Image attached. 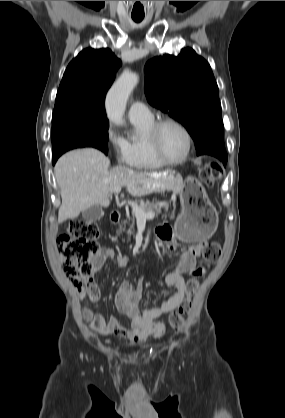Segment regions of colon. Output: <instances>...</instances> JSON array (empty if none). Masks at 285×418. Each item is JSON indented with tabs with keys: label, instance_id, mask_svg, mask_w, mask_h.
Returning <instances> with one entry per match:
<instances>
[{
	"label": "colon",
	"instance_id": "5ec220e1",
	"mask_svg": "<svg viewBox=\"0 0 285 418\" xmlns=\"http://www.w3.org/2000/svg\"><path fill=\"white\" fill-rule=\"evenodd\" d=\"M223 175L220 166L208 162L202 169V183L211 186ZM99 228L95 223H89L81 219H73L66 230L59 235L57 244L62 255V266L71 283L79 288H86L91 278V266L88 259L98 251ZM222 253V245L218 241L207 243L201 254L202 263L198 271H203L206 263L218 260ZM198 276V275H197ZM197 276L189 279L187 283V296L181 303L177 312L170 316V326L179 330L185 321V317L192 309L193 295L198 286ZM162 331L164 328L158 326Z\"/></svg>",
	"mask_w": 285,
	"mask_h": 418
}]
</instances>
